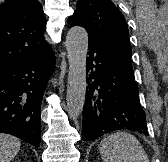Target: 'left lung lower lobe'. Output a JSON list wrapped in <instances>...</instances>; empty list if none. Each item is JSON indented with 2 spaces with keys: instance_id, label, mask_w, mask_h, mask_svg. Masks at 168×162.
I'll return each mask as SVG.
<instances>
[{
  "instance_id": "0a47b994",
  "label": "left lung lower lobe",
  "mask_w": 168,
  "mask_h": 162,
  "mask_svg": "<svg viewBox=\"0 0 168 162\" xmlns=\"http://www.w3.org/2000/svg\"><path fill=\"white\" fill-rule=\"evenodd\" d=\"M88 49L83 140L93 141L122 129L148 135L131 61L92 39H89Z\"/></svg>"
}]
</instances>
